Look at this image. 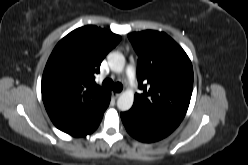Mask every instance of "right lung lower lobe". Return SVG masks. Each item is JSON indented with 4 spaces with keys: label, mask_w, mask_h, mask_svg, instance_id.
Segmentation results:
<instances>
[{
    "label": "right lung lower lobe",
    "mask_w": 248,
    "mask_h": 165,
    "mask_svg": "<svg viewBox=\"0 0 248 165\" xmlns=\"http://www.w3.org/2000/svg\"><path fill=\"white\" fill-rule=\"evenodd\" d=\"M109 105V104H108ZM108 107V106H107ZM106 107V108H107ZM106 110V109H105ZM104 110V111H105ZM104 111L99 114L93 121H91L90 123H88L87 125L75 130V131H72L68 134L72 135V136H75V137H82V136H85L87 134H90L92 133L93 131H95L97 129V127L99 126L100 122H101V119L103 117V113Z\"/></svg>",
    "instance_id": "1"
}]
</instances>
